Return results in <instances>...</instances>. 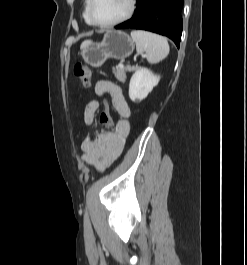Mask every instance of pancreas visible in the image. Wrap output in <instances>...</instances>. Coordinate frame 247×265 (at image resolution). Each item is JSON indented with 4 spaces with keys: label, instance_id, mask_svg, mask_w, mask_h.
I'll return each mask as SVG.
<instances>
[{
    "label": "pancreas",
    "instance_id": "1",
    "mask_svg": "<svg viewBox=\"0 0 247 265\" xmlns=\"http://www.w3.org/2000/svg\"><path fill=\"white\" fill-rule=\"evenodd\" d=\"M132 70L134 69L130 67H116V69L113 70V73L120 82L124 83L126 81V72Z\"/></svg>",
    "mask_w": 247,
    "mask_h": 265
}]
</instances>
